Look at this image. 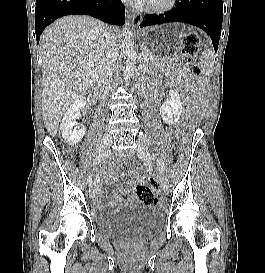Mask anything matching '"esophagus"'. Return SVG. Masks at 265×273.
<instances>
[{
    "label": "esophagus",
    "mask_w": 265,
    "mask_h": 273,
    "mask_svg": "<svg viewBox=\"0 0 265 273\" xmlns=\"http://www.w3.org/2000/svg\"><path fill=\"white\" fill-rule=\"evenodd\" d=\"M128 17L129 18L133 17V20H132L133 23H137L138 24L141 21V16L140 17L135 16V11L133 9L129 10Z\"/></svg>",
    "instance_id": "obj_1"
}]
</instances>
